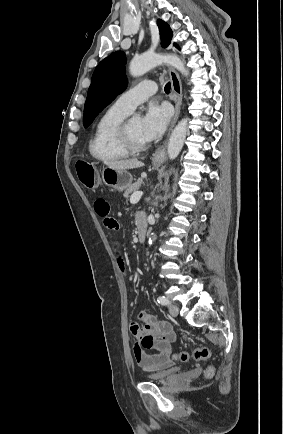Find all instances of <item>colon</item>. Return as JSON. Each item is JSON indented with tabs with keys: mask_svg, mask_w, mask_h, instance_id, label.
I'll list each match as a JSON object with an SVG mask.
<instances>
[{
	"mask_svg": "<svg viewBox=\"0 0 283 434\" xmlns=\"http://www.w3.org/2000/svg\"><path fill=\"white\" fill-rule=\"evenodd\" d=\"M77 175L80 182L89 189H93L98 185V174L95 167L86 162H79L76 164ZM211 356V351L208 347H198L191 352L181 351L174 354L176 360L186 362L189 359L194 360H207ZM207 377H211L214 374V368L209 366L205 372Z\"/></svg>",
	"mask_w": 283,
	"mask_h": 434,
	"instance_id": "colon-1",
	"label": "colon"
}]
</instances>
